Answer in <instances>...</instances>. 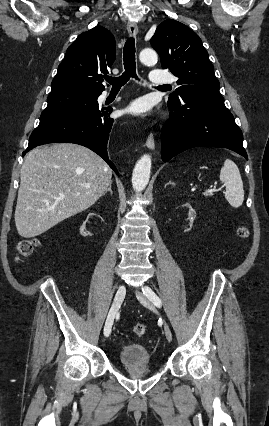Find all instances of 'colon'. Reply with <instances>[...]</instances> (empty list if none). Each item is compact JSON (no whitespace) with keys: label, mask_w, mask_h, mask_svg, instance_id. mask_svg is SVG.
Returning <instances> with one entry per match:
<instances>
[{"label":"colon","mask_w":269,"mask_h":426,"mask_svg":"<svg viewBox=\"0 0 269 426\" xmlns=\"http://www.w3.org/2000/svg\"><path fill=\"white\" fill-rule=\"evenodd\" d=\"M249 231L246 226H241L237 230V235L241 239L248 237ZM37 247V241L33 238L22 239L18 241L16 245V250L20 256H28L33 253ZM137 337H144L147 334V327L144 324H136L133 329Z\"/></svg>","instance_id":"1"}]
</instances>
